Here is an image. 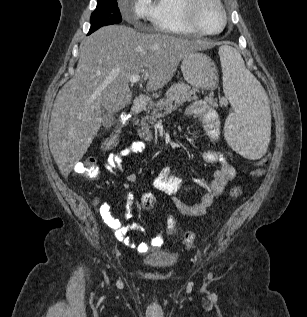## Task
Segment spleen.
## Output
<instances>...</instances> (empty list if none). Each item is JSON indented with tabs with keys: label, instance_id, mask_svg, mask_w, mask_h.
<instances>
[{
	"label": "spleen",
	"instance_id": "spleen-1",
	"mask_svg": "<svg viewBox=\"0 0 307 317\" xmlns=\"http://www.w3.org/2000/svg\"><path fill=\"white\" fill-rule=\"evenodd\" d=\"M225 95L236 103L235 113L225 123V138L228 144L247 155L249 160L262 156L270 135V105L268 94L254 78L234 48L219 49Z\"/></svg>",
	"mask_w": 307,
	"mask_h": 317
}]
</instances>
